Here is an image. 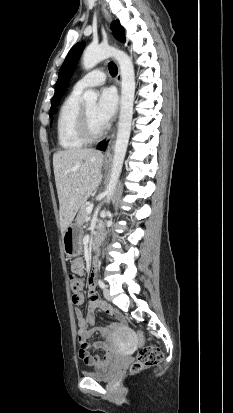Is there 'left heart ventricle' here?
Listing matches in <instances>:
<instances>
[{
    "mask_svg": "<svg viewBox=\"0 0 233 413\" xmlns=\"http://www.w3.org/2000/svg\"><path fill=\"white\" fill-rule=\"evenodd\" d=\"M85 107H86V110L88 112L91 127H92L93 131L95 133L99 132L103 128V126L99 123V121L97 120V117H96L97 104L96 103H90V104L85 105Z\"/></svg>",
    "mask_w": 233,
    "mask_h": 413,
    "instance_id": "obj_1",
    "label": "left heart ventricle"
}]
</instances>
